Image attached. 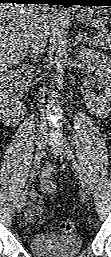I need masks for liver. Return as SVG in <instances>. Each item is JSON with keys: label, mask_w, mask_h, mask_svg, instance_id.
<instances>
[{"label": "liver", "mask_w": 111, "mask_h": 257, "mask_svg": "<svg viewBox=\"0 0 111 257\" xmlns=\"http://www.w3.org/2000/svg\"><path fill=\"white\" fill-rule=\"evenodd\" d=\"M49 7L44 5H0V68L18 64L28 53L40 22L48 28Z\"/></svg>", "instance_id": "6515ba94"}]
</instances>
